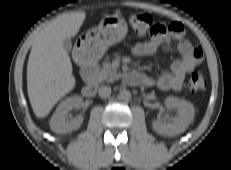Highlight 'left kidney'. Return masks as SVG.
<instances>
[{
    "label": "left kidney",
    "mask_w": 231,
    "mask_h": 170,
    "mask_svg": "<svg viewBox=\"0 0 231 170\" xmlns=\"http://www.w3.org/2000/svg\"><path fill=\"white\" fill-rule=\"evenodd\" d=\"M164 103L167 107L175 108L178 116L172 119V123L154 120L152 122L154 131L165 136L183 133L194 119L195 110L193 105L188 101L170 96L165 98Z\"/></svg>",
    "instance_id": "obj_1"
}]
</instances>
